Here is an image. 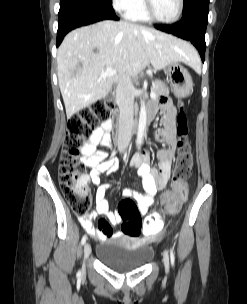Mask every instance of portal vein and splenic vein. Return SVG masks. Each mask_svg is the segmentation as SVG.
I'll return each mask as SVG.
<instances>
[{
	"instance_id": "portal-vein-and-splenic-vein-1",
	"label": "portal vein and splenic vein",
	"mask_w": 247,
	"mask_h": 304,
	"mask_svg": "<svg viewBox=\"0 0 247 304\" xmlns=\"http://www.w3.org/2000/svg\"><path fill=\"white\" fill-rule=\"evenodd\" d=\"M116 74V71L113 70L112 68L108 67L105 71H103L100 75L101 77H106V76H112ZM150 96L152 98L156 97L155 93L151 90Z\"/></svg>"
}]
</instances>
